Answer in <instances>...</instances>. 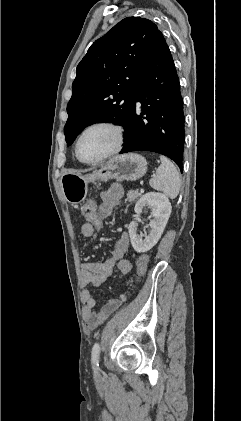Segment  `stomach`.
<instances>
[{"label": "stomach", "instance_id": "1", "mask_svg": "<svg viewBox=\"0 0 241 421\" xmlns=\"http://www.w3.org/2000/svg\"><path fill=\"white\" fill-rule=\"evenodd\" d=\"M147 172L146 159L136 153L118 155L92 173L68 171L61 177L60 184L65 200L72 204L82 202L88 192V184L96 180H130L143 177Z\"/></svg>", "mask_w": 241, "mask_h": 421}]
</instances>
